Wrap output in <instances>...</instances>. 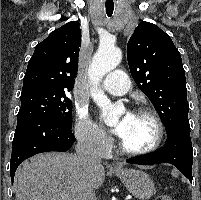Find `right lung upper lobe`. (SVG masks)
<instances>
[{
    "label": "right lung upper lobe",
    "mask_w": 201,
    "mask_h": 200,
    "mask_svg": "<svg viewBox=\"0 0 201 200\" xmlns=\"http://www.w3.org/2000/svg\"><path fill=\"white\" fill-rule=\"evenodd\" d=\"M81 30L76 21L54 30L40 42L28 62L22 92L71 91L78 69Z\"/></svg>",
    "instance_id": "obj_1"
}]
</instances>
